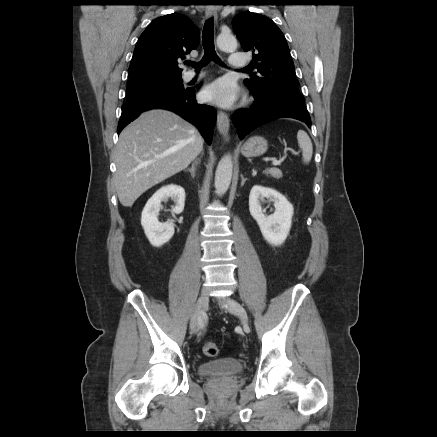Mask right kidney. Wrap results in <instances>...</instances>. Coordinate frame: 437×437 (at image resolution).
I'll return each instance as SVG.
<instances>
[{"mask_svg": "<svg viewBox=\"0 0 437 437\" xmlns=\"http://www.w3.org/2000/svg\"><path fill=\"white\" fill-rule=\"evenodd\" d=\"M171 198L175 202L172 207L174 214H180L184 210L185 190L179 185L170 184L157 190L147 201L141 216V225L149 242L160 247L167 243L174 235L173 220L165 223L158 221L161 202Z\"/></svg>", "mask_w": 437, "mask_h": 437, "instance_id": "1", "label": "right kidney"}]
</instances>
